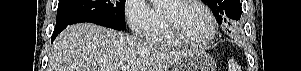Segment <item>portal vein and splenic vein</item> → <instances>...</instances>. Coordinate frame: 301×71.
Returning a JSON list of instances; mask_svg holds the SVG:
<instances>
[{
    "label": "portal vein and splenic vein",
    "mask_w": 301,
    "mask_h": 71,
    "mask_svg": "<svg viewBox=\"0 0 301 71\" xmlns=\"http://www.w3.org/2000/svg\"><path fill=\"white\" fill-rule=\"evenodd\" d=\"M128 69H129V66H122V67H121V70H122V71H126V70H128Z\"/></svg>",
    "instance_id": "portal-vein-and-splenic-vein-1"
}]
</instances>
